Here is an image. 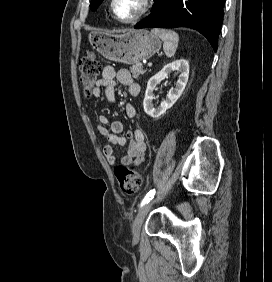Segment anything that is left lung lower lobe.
Listing matches in <instances>:
<instances>
[{
  "instance_id": "1",
  "label": "left lung lower lobe",
  "mask_w": 272,
  "mask_h": 282,
  "mask_svg": "<svg viewBox=\"0 0 272 282\" xmlns=\"http://www.w3.org/2000/svg\"><path fill=\"white\" fill-rule=\"evenodd\" d=\"M225 0H154L152 13L134 26L189 27L199 31L217 50Z\"/></svg>"
}]
</instances>
